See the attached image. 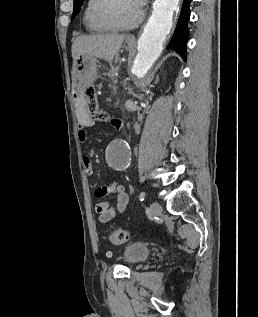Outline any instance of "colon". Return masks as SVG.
<instances>
[{
	"label": "colon",
	"instance_id": "colon-1",
	"mask_svg": "<svg viewBox=\"0 0 258 317\" xmlns=\"http://www.w3.org/2000/svg\"><path fill=\"white\" fill-rule=\"evenodd\" d=\"M83 98L85 110L93 120L106 121L108 119L107 114L99 108L94 86L86 88ZM108 238L113 244H122L128 240L129 234L122 228H112L108 231Z\"/></svg>",
	"mask_w": 258,
	"mask_h": 317
}]
</instances>
